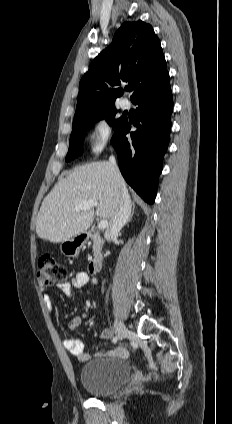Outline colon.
<instances>
[{
  "label": "colon",
  "mask_w": 232,
  "mask_h": 424,
  "mask_svg": "<svg viewBox=\"0 0 232 424\" xmlns=\"http://www.w3.org/2000/svg\"><path fill=\"white\" fill-rule=\"evenodd\" d=\"M68 276L65 266L52 254H42L38 260L37 279L42 286H52L64 281Z\"/></svg>",
  "instance_id": "obj_1"
}]
</instances>
